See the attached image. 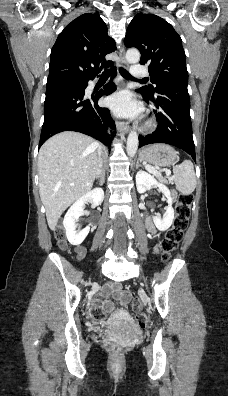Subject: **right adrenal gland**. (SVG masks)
<instances>
[{
	"instance_id": "obj_1",
	"label": "right adrenal gland",
	"mask_w": 228,
	"mask_h": 396,
	"mask_svg": "<svg viewBox=\"0 0 228 396\" xmlns=\"http://www.w3.org/2000/svg\"><path fill=\"white\" fill-rule=\"evenodd\" d=\"M104 182H105V169L103 168L102 176H101V179H100V181H99V184H100V185H103Z\"/></svg>"
}]
</instances>
